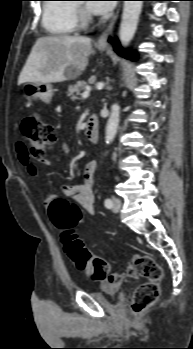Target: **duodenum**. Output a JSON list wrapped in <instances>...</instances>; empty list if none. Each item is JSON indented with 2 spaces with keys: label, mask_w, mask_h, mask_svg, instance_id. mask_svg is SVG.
Listing matches in <instances>:
<instances>
[{
  "label": "duodenum",
  "mask_w": 193,
  "mask_h": 349,
  "mask_svg": "<svg viewBox=\"0 0 193 349\" xmlns=\"http://www.w3.org/2000/svg\"><path fill=\"white\" fill-rule=\"evenodd\" d=\"M85 136L89 143L95 145L98 142V119L90 115L86 122Z\"/></svg>",
  "instance_id": "1"
}]
</instances>
